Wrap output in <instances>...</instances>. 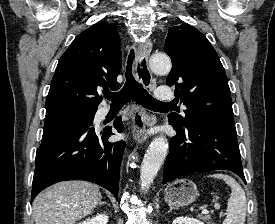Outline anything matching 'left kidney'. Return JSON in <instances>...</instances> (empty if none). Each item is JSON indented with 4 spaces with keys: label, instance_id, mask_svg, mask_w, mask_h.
I'll list each match as a JSON object with an SVG mask.
<instances>
[{
    "label": "left kidney",
    "instance_id": "left-kidney-1",
    "mask_svg": "<svg viewBox=\"0 0 275 224\" xmlns=\"http://www.w3.org/2000/svg\"><path fill=\"white\" fill-rule=\"evenodd\" d=\"M172 224H204L203 222L189 217H178Z\"/></svg>",
    "mask_w": 275,
    "mask_h": 224
}]
</instances>
